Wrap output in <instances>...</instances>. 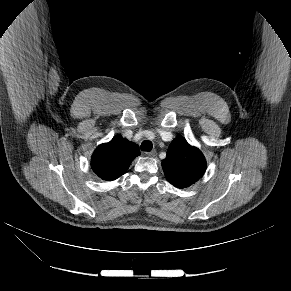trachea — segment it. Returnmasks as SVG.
<instances>
[{
  "mask_svg": "<svg viewBox=\"0 0 291 291\" xmlns=\"http://www.w3.org/2000/svg\"><path fill=\"white\" fill-rule=\"evenodd\" d=\"M152 148H153V144L149 140H144L141 143V150L142 151L150 152L152 150Z\"/></svg>",
  "mask_w": 291,
  "mask_h": 291,
  "instance_id": "trachea-1",
  "label": "trachea"
}]
</instances>
